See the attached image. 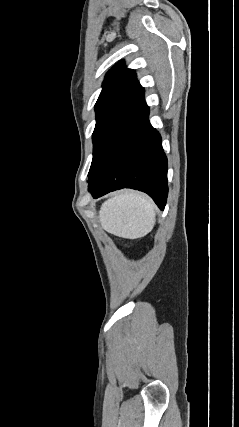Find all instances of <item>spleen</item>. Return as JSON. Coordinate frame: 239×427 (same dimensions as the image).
I'll return each instance as SVG.
<instances>
[{
	"mask_svg": "<svg viewBox=\"0 0 239 427\" xmlns=\"http://www.w3.org/2000/svg\"><path fill=\"white\" fill-rule=\"evenodd\" d=\"M99 222L104 230L115 236L141 238L154 227L155 205L145 194L125 191L102 204Z\"/></svg>",
	"mask_w": 239,
	"mask_h": 427,
	"instance_id": "3e777b00",
	"label": "spleen"
}]
</instances>
